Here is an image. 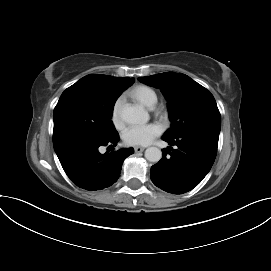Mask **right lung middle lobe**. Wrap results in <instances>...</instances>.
<instances>
[{
    "instance_id": "right-lung-middle-lobe-1",
    "label": "right lung middle lobe",
    "mask_w": 271,
    "mask_h": 271,
    "mask_svg": "<svg viewBox=\"0 0 271 271\" xmlns=\"http://www.w3.org/2000/svg\"><path fill=\"white\" fill-rule=\"evenodd\" d=\"M121 93L98 88L82 79L67 88L54 109V150L85 139L117 135L110 119Z\"/></svg>"
}]
</instances>
